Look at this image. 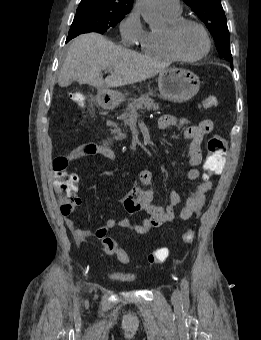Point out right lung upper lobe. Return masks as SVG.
<instances>
[{
  "mask_svg": "<svg viewBox=\"0 0 261 340\" xmlns=\"http://www.w3.org/2000/svg\"><path fill=\"white\" fill-rule=\"evenodd\" d=\"M80 5L114 7L129 12L132 9L133 0H82Z\"/></svg>",
  "mask_w": 261,
  "mask_h": 340,
  "instance_id": "obj_1",
  "label": "right lung upper lobe"
}]
</instances>
